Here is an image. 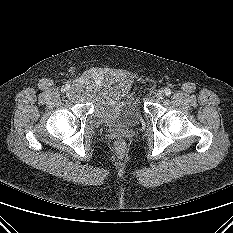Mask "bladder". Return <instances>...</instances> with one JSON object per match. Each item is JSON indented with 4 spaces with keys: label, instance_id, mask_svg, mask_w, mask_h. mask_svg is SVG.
<instances>
[{
    "label": "bladder",
    "instance_id": "1",
    "mask_svg": "<svg viewBox=\"0 0 233 233\" xmlns=\"http://www.w3.org/2000/svg\"><path fill=\"white\" fill-rule=\"evenodd\" d=\"M75 89L92 98L94 117L109 127H132L143 118L140 97L126 75L105 71L89 73L79 78Z\"/></svg>",
    "mask_w": 233,
    "mask_h": 233
}]
</instances>
